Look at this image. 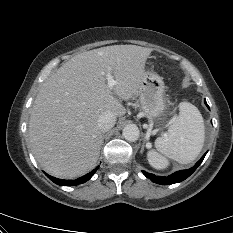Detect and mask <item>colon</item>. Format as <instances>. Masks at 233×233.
I'll return each mask as SVG.
<instances>
[{"label": "colon", "mask_w": 233, "mask_h": 233, "mask_svg": "<svg viewBox=\"0 0 233 233\" xmlns=\"http://www.w3.org/2000/svg\"><path fill=\"white\" fill-rule=\"evenodd\" d=\"M148 158L152 166L157 169H166L169 165L168 160L154 149L148 151Z\"/></svg>", "instance_id": "obj_1"}]
</instances>
